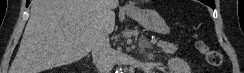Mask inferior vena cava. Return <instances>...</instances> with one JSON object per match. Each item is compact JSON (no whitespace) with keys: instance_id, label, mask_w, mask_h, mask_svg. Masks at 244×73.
I'll return each instance as SVG.
<instances>
[{"instance_id":"602c4592","label":"inferior vena cava","mask_w":244,"mask_h":73,"mask_svg":"<svg viewBox=\"0 0 244 73\" xmlns=\"http://www.w3.org/2000/svg\"><path fill=\"white\" fill-rule=\"evenodd\" d=\"M112 53L109 35L107 32H102L95 39L92 47L93 61L99 69V73H111L114 63Z\"/></svg>"}]
</instances>
